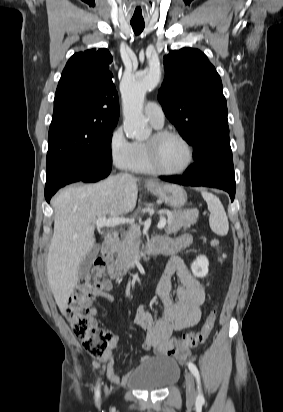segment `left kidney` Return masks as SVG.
Returning <instances> with one entry per match:
<instances>
[{
  "instance_id": "1",
  "label": "left kidney",
  "mask_w": 283,
  "mask_h": 412,
  "mask_svg": "<svg viewBox=\"0 0 283 412\" xmlns=\"http://www.w3.org/2000/svg\"><path fill=\"white\" fill-rule=\"evenodd\" d=\"M209 262L206 256L200 255L191 264V270L195 277L204 278L208 274Z\"/></svg>"
}]
</instances>
